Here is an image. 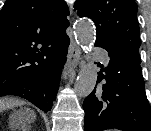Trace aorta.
I'll use <instances>...</instances> for the list:
<instances>
[{
	"mask_svg": "<svg viewBox=\"0 0 151 131\" xmlns=\"http://www.w3.org/2000/svg\"><path fill=\"white\" fill-rule=\"evenodd\" d=\"M76 38L80 46L85 51H89L96 38L95 26L93 23L85 18L78 20L75 26ZM98 68L93 62H88L79 72L74 89L79 97H87L94 89Z\"/></svg>",
	"mask_w": 151,
	"mask_h": 131,
	"instance_id": "obj_1",
	"label": "aorta"
}]
</instances>
